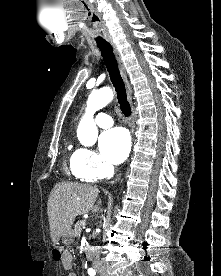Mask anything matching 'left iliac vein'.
<instances>
[{"mask_svg": "<svg viewBox=\"0 0 221 276\" xmlns=\"http://www.w3.org/2000/svg\"><path fill=\"white\" fill-rule=\"evenodd\" d=\"M100 276H108L105 272H100Z\"/></svg>", "mask_w": 221, "mask_h": 276, "instance_id": "4c4485c4", "label": "left iliac vein"}]
</instances>
